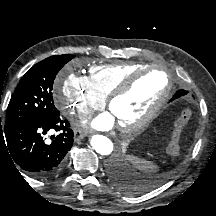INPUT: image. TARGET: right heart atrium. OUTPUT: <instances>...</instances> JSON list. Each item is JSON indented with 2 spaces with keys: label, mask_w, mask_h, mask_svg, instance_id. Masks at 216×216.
I'll return each instance as SVG.
<instances>
[{
  "label": "right heart atrium",
  "mask_w": 216,
  "mask_h": 216,
  "mask_svg": "<svg viewBox=\"0 0 216 216\" xmlns=\"http://www.w3.org/2000/svg\"><path fill=\"white\" fill-rule=\"evenodd\" d=\"M53 100L60 113L67 117L86 116L105 104L92 87L89 77L68 73L61 75L54 88Z\"/></svg>",
  "instance_id": "right-heart-atrium-1"
}]
</instances>
